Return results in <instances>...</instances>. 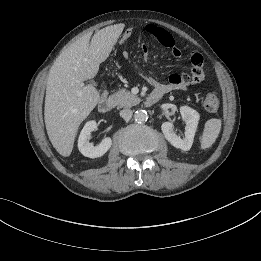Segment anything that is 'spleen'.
I'll return each mask as SVG.
<instances>
[{
	"mask_svg": "<svg viewBox=\"0 0 261 261\" xmlns=\"http://www.w3.org/2000/svg\"><path fill=\"white\" fill-rule=\"evenodd\" d=\"M221 130V120L212 118L206 121L203 134L200 140L201 149L211 147L216 141Z\"/></svg>",
	"mask_w": 261,
	"mask_h": 261,
	"instance_id": "spleen-1",
	"label": "spleen"
}]
</instances>
